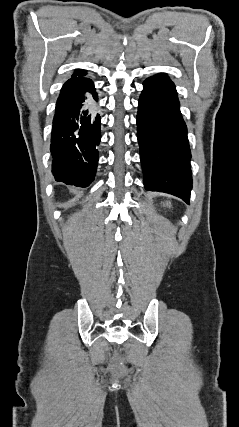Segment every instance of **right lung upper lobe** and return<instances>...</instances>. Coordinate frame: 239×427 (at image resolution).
<instances>
[{"label": "right lung upper lobe", "mask_w": 239, "mask_h": 427, "mask_svg": "<svg viewBox=\"0 0 239 427\" xmlns=\"http://www.w3.org/2000/svg\"><path fill=\"white\" fill-rule=\"evenodd\" d=\"M82 72H84V71L80 70V69H77L74 74H78V73H82Z\"/></svg>", "instance_id": "cb5924a9"}]
</instances>
